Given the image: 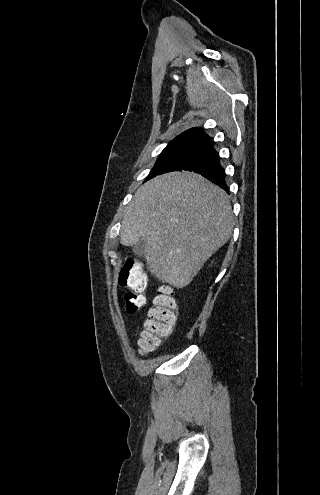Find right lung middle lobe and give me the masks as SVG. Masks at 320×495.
I'll return each instance as SVG.
<instances>
[{"instance_id": "obj_1", "label": "right lung middle lobe", "mask_w": 320, "mask_h": 495, "mask_svg": "<svg viewBox=\"0 0 320 495\" xmlns=\"http://www.w3.org/2000/svg\"><path fill=\"white\" fill-rule=\"evenodd\" d=\"M206 142L199 140H180L169 143L160 154L147 180L154 176L177 171L193 156Z\"/></svg>"}]
</instances>
